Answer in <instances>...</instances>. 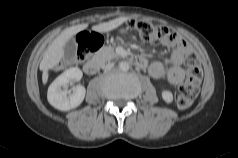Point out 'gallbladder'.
<instances>
[{"mask_svg":"<svg viewBox=\"0 0 238 158\" xmlns=\"http://www.w3.org/2000/svg\"><path fill=\"white\" fill-rule=\"evenodd\" d=\"M65 61L67 63H73L75 61L77 52V43L74 38H70L63 47Z\"/></svg>","mask_w":238,"mask_h":158,"instance_id":"gallbladder-1","label":"gallbladder"}]
</instances>
